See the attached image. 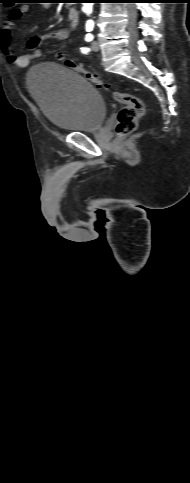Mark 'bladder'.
<instances>
[{
	"mask_svg": "<svg viewBox=\"0 0 190 483\" xmlns=\"http://www.w3.org/2000/svg\"><path fill=\"white\" fill-rule=\"evenodd\" d=\"M28 89L46 119L72 132L97 131L106 117V104L96 88L76 71L58 63L34 66Z\"/></svg>",
	"mask_w": 190,
	"mask_h": 483,
	"instance_id": "obj_1",
	"label": "bladder"
}]
</instances>
